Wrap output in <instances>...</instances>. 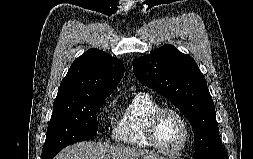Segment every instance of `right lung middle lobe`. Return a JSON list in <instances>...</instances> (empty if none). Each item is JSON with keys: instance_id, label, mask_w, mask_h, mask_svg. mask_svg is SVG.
<instances>
[{"instance_id": "obj_1", "label": "right lung middle lobe", "mask_w": 253, "mask_h": 159, "mask_svg": "<svg viewBox=\"0 0 253 159\" xmlns=\"http://www.w3.org/2000/svg\"><path fill=\"white\" fill-rule=\"evenodd\" d=\"M107 96L80 95L55 99L41 159H52L60 150L97 134V112Z\"/></svg>"}]
</instances>
